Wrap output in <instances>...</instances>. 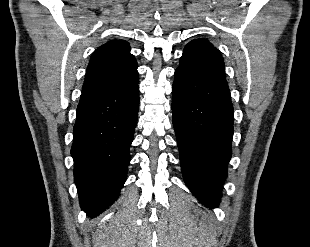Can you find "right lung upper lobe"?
Instances as JSON below:
<instances>
[{
    "label": "right lung upper lobe",
    "mask_w": 310,
    "mask_h": 247,
    "mask_svg": "<svg viewBox=\"0 0 310 247\" xmlns=\"http://www.w3.org/2000/svg\"><path fill=\"white\" fill-rule=\"evenodd\" d=\"M137 67L128 42L109 41L93 52L82 93L131 86L138 82Z\"/></svg>",
    "instance_id": "obj_1"
}]
</instances>
